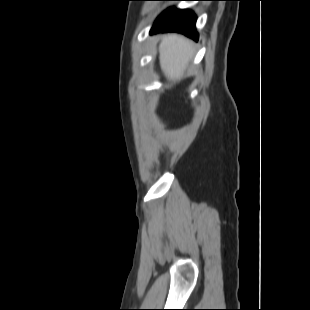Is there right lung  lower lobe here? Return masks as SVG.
Returning a JSON list of instances; mask_svg holds the SVG:
<instances>
[{"label":"right lung lower lobe","instance_id":"obj_1","mask_svg":"<svg viewBox=\"0 0 310 310\" xmlns=\"http://www.w3.org/2000/svg\"><path fill=\"white\" fill-rule=\"evenodd\" d=\"M195 22L196 16L191 10L168 8L157 18L151 32L175 31L197 40L198 34L195 30Z\"/></svg>","mask_w":310,"mask_h":310}]
</instances>
